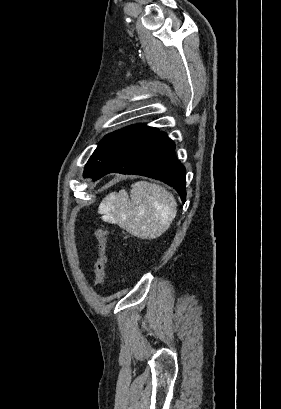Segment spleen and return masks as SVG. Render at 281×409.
Listing matches in <instances>:
<instances>
[{
  "mask_svg": "<svg viewBox=\"0 0 281 409\" xmlns=\"http://www.w3.org/2000/svg\"><path fill=\"white\" fill-rule=\"evenodd\" d=\"M177 202L166 188L138 180L131 184L130 198L127 190L110 192L100 202L98 213L102 221L119 225L138 239H157L169 229L176 217Z\"/></svg>",
  "mask_w": 281,
  "mask_h": 409,
  "instance_id": "1",
  "label": "spleen"
}]
</instances>
